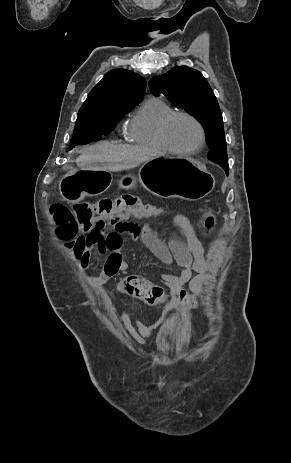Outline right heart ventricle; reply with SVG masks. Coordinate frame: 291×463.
Here are the masks:
<instances>
[{
  "mask_svg": "<svg viewBox=\"0 0 291 463\" xmlns=\"http://www.w3.org/2000/svg\"><path fill=\"white\" fill-rule=\"evenodd\" d=\"M175 110L164 100L151 97L145 100L127 125L128 140L134 144L167 151L160 138L163 120Z\"/></svg>",
  "mask_w": 291,
  "mask_h": 463,
  "instance_id": "e07e8e85",
  "label": "right heart ventricle"
}]
</instances>
